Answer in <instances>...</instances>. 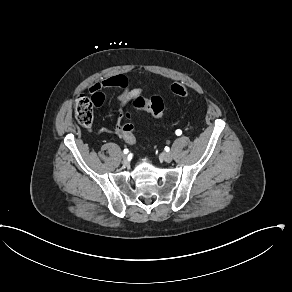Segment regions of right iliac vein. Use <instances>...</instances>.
<instances>
[{
  "mask_svg": "<svg viewBox=\"0 0 292 292\" xmlns=\"http://www.w3.org/2000/svg\"><path fill=\"white\" fill-rule=\"evenodd\" d=\"M127 158H128V157H127V155H126V154H123V155H122V159H123L124 161H126V160H127Z\"/></svg>",
  "mask_w": 292,
  "mask_h": 292,
  "instance_id": "right-iliac-vein-1",
  "label": "right iliac vein"
}]
</instances>
